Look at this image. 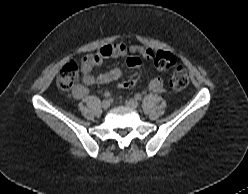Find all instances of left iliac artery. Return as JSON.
<instances>
[{
  "label": "left iliac artery",
  "mask_w": 248,
  "mask_h": 194,
  "mask_svg": "<svg viewBox=\"0 0 248 194\" xmlns=\"http://www.w3.org/2000/svg\"><path fill=\"white\" fill-rule=\"evenodd\" d=\"M135 99L141 100L142 99V95L139 94V93L135 94Z\"/></svg>",
  "instance_id": "left-iliac-artery-1"
}]
</instances>
